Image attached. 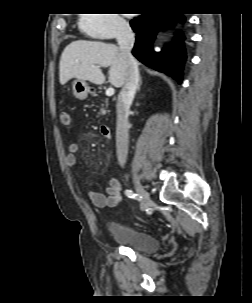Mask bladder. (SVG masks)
I'll return each mask as SVG.
<instances>
[{"label":"bladder","instance_id":"obj_1","mask_svg":"<svg viewBox=\"0 0 252 303\" xmlns=\"http://www.w3.org/2000/svg\"><path fill=\"white\" fill-rule=\"evenodd\" d=\"M109 231L121 244L143 253H154L160 246L158 239L153 235L128 225L111 223Z\"/></svg>","mask_w":252,"mask_h":303}]
</instances>
